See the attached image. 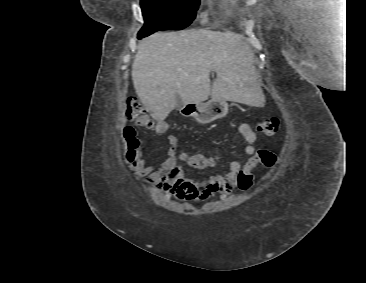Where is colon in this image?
<instances>
[{"instance_id": "obj_1", "label": "colon", "mask_w": 366, "mask_h": 283, "mask_svg": "<svg viewBox=\"0 0 366 283\" xmlns=\"http://www.w3.org/2000/svg\"><path fill=\"white\" fill-rule=\"evenodd\" d=\"M126 116L129 121L135 123L138 126L151 127L152 121L147 115L146 109L140 105L136 100L130 99L127 102ZM256 130L266 136L275 135L279 130V119L276 117L267 118L256 124ZM126 137L129 145L134 148L137 145V139L132 128L126 129ZM189 162L193 167H202L206 164V161L202 155L199 157L191 156ZM277 162L276 155L265 149H260L256 152L254 157L248 161L241 170L237 178V185L239 189L243 191L249 190L254 182L253 170L258 166L262 165L267 168H272Z\"/></svg>"}]
</instances>
